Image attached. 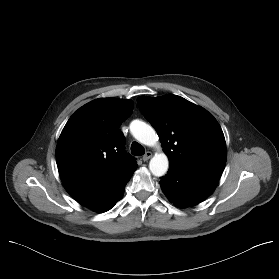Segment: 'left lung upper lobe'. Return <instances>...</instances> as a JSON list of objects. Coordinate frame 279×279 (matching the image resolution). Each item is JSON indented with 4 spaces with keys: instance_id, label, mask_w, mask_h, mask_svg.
Returning a JSON list of instances; mask_svg holds the SVG:
<instances>
[{
    "instance_id": "5c2ea615",
    "label": "left lung upper lobe",
    "mask_w": 279,
    "mask_h": 279,
    "mask_svg": "<svg viewBox=\"0 0 279 279\" xmlns=\"http://www.w3.org/2000/svg\"><path fill=\"white\" fill-rule=\"evenodd\" d=\"M137 103L157 131L169 165L222 174L227 157L225 138L208 111L172 94L157 98L142 96Z\"/></svg>"
}]
</instances>
